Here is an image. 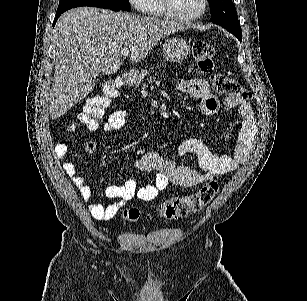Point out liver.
Instances as JSON below:
<instances>
[{"label": "liver", "mask_w": 307, "mask_h": 301, "mask_svg": "<svg viewBox=\"0 0 307 301\" xmlns=\"http://www.w3.org/2000/svg\"><path fill=\"white\" fill-rule=\"evenodd\" d=\"M188 24L155 16H136L106 8L78 6L59 16L53 28L56 60L49 114L59 118L92 92L98 74L119 70L123 48L139 62L155 44Z\"/></svg>", "instance_id": "liver-1"}]
</instances>
